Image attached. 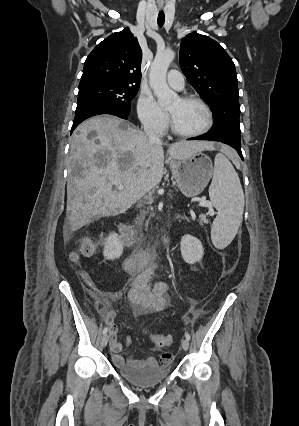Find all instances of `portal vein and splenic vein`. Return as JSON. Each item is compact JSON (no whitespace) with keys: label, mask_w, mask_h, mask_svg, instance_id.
Segmentation results:
<instances>
[{"label":"portal vein and splenic vein","mask_w":299,"mask_h":426,"mask_svg":"<svg viewBox=\"0 0 299 426\" xmlns=\"http://www.w3.org/2000/svg\"><path fill=\"white\" fill-rule=\"evenodd\" d=\"M117 188H118V190H122L124 187H123L122 184H118ZM199 206L211 208L212 207V203L209 202V201H207L205 198H201L199 200Z\"/></svg>","instance_id":"portal-vein-and-splenic-vein-1"}]
</instances>
